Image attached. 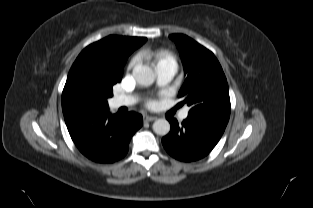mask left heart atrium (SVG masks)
<instances>
[{
    "label": "left heart atrium",
    "mask_w": 313,
    "mask_h": 208,
    "mask_svg": "<svg viewBox=\"0 0 313 208\" xmlns=\"http://www.w3.org/2000/svg\"><path fill=\"white\" fill-rule=\"evenodd\" d=\"M149 106H150V107H153V106H154V102H150V103H149Z\"/></svg>",
    "instance_id": "39dd6f15"
}]
</instances>
